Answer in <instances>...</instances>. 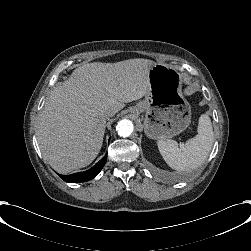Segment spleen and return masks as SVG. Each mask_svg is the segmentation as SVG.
<instances>
[{
	"instance_id": "spleen-1",
	"label": "spleen",
	"mask_w": 251,
	"mask_h": 251,
	"mask_svg": "<svg viewBox=\"0 0 251 251\" xmlns=\"http://www.w3.org/2000/svg\"><path fill=\"white\" fill-rule=\"evenodd\" d=\"M213 125L208 114L203 113L198 120V134L189 139L181 148L175 140H158V148L167 164L177 171H193L203 165L212 149Z\"/></svg>"
}]
</instances>
